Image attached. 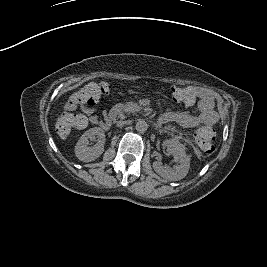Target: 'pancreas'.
Listing matches in <instances>:
<instances>
[{
    "mask_svg": "<svg viewBox=\"0 0 267 267\" xmlns=\"http://www.w3.org/2000/svg\"><path fill=\"white\" fill-rule=\"evenodd\" d=\"M134 104H131V105H129V106H126L125 108H126V110L128 111V112H134Z\"/></svg>",
    "mask_w": 267,
    "mask_h": 267,
    "instance_id": "pancreas-1",
    "label": "pancreas"
}]
</instances>
